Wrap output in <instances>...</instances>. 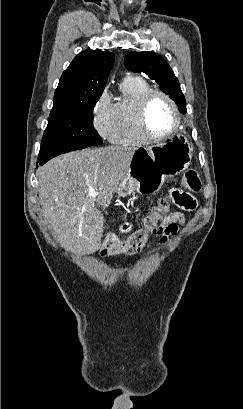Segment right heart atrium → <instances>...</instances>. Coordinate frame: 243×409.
<instances>
[{
    "instance_id": "obj_1",
    "label": "right heart atrium",
    "mask_w": 243,
    "mask_h": 409,
    "mask_svg": "<svg viewBox=\"0 0 243 409\" xmlns=\"http://www.w3.org/2000/svg\"><path fill=\"white\" fill-rule=\"evenodd\" d=\"M113 103L109 93L103 91L92 109V126L103 139H110L113 127Z\"/></svg>"
}]
</instances>
